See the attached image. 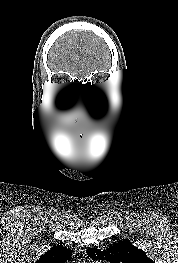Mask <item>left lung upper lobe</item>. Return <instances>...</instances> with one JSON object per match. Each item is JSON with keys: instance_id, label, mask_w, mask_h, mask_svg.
<instances>
[{"instance_id": "left-lung-upper-lobe-1", "label": "left lung upper lobe", "mask_w": 178, "mask_h": 263, "mask_svg": "<svg viewBox=\"0 0 178 263\" xmlns=\"http://www.w3.org/2000/svg\"><path fill=\"white\" fill-rule=\"evenodd\" d=\"M86 253L94 260L108 263H154L143 250L133 246L127 239L114 243L107 250L89 248Z\"/></svg>"}]
</instances>
